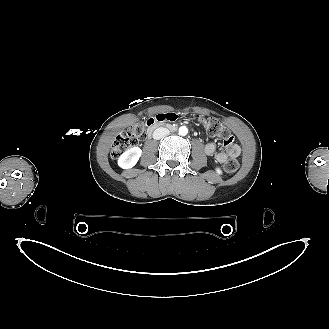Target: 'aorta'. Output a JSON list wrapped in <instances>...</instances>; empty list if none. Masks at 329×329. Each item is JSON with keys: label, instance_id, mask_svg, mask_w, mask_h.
<instances>
[{"label": "aorta", "instance_id": "obj_1", "mask_svg": "<svg viewBox=\"0 0 329 329\" xmlns=\"http://www.w3.org/2000/svg\"><path fill=\"white\" fill-rule=\"evenodd\" d=\"M179 135L181 136H185L188 133V129L186 126H181L179 127Z\"/></svg>", "mask_w": 329, "mask_h": 329}]
</instances>
